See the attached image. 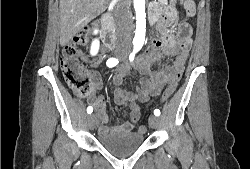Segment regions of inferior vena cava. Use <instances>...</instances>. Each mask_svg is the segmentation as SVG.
Wrapping results in <instances>:
<instances>
[{
    "mask_svg": "<svg viewBox=\"0 0 250 169\" xmlns=\"http://www.w3.org/2000/svg\"><path fill=\"white\" fill-rule=\"evenodd\" d=\"M132 0H120L118 4L119 10L115 14L116 26L118 34L125 30H132V14L130 10Z\"/></svg>",
    "mask_w": 250,
    "mask_h": 169,
    "instance_id": "inferior-vena-cava-1",
    "label": "inferior vena cava"
}]
</instances>
